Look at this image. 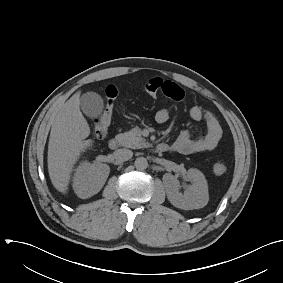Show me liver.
Listing matches in <instances>:
<instances>
[{"mask_svg": "<svg viewBox=\"0 0 283 283\" xmlns=\"http://www.w3.org/2000/svg\"><path fill=\"white\" fill-rule=\"evenodd\" d=\"M89 135L90 127L80 111V92H77L62 105L51 126L48 172L59 192H67L75 163L92 144V140H85Z\"/></svg>", "mask_w": 283, "mask_h": 283, "instance_id": "6515ba94", "label": "liver"}]
</instances>
